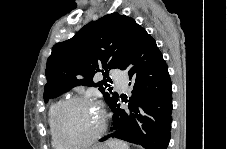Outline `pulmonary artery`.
<instances>
[{
	"label": "pulmonary artery",
	"mask_w": 227,
	"mask_h": 149,
	"mask_svg": "<svg viewBox=\"0 0 227 149\" xmlns=\"http://www.w3.org/2000/svg\"><path fill=\"white\" fill-rule=\"evenodd\" d=\"M113 80L116 86L127 89V78L123 73H120L118 71H114L113 73Z\"/></svg>",
	"instance_id": "pulmonary-artery-1"
}]
</instances>
